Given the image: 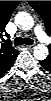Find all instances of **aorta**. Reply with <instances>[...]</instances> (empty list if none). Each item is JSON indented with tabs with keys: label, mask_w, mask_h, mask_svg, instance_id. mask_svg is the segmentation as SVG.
I'll use <instances>...</instances> for the list:
<instances>
[{
	"label": "aorta",
	"mask_w": 51,
	"mask_h": 101,
	"mask_svg": "<svg viewBox=\"0 0 51 101\" xmlns=\"http://www.w3.org/2000/svg\"><path fill=\"white\" fill-rule=\"evenodd\" d=\"M15 24L21 30H29L34 25V19L29 13L19 12L15 16ZM33 55L36 59L43 60L48 55V48L43 44H38L34 49Z\"/></svg>",
	"instance_id": "1"
}]
</instances>
